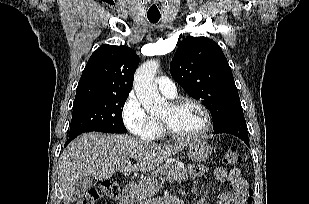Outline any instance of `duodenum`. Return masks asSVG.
I'll return each instance as SVG.
<instances>
[{
    "mask_svg": "<svg viewBox=\"0 0 309 204\" xmlns=\"http://www.w3.org/2000/svg\"><path fill=\"white\" fill-rule=\"evenodd\" d=\"M136 184L134 181H131L126 184L123 190V195L120 204H132L133 198L135 196Z\"/></svg>",
    "mask_w": 309,
    "mask_h": 204,
    "instance_id": "duodenum-1",
    "label": "duodenum"
}]
</instances>
